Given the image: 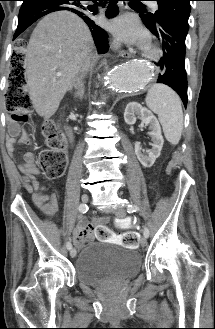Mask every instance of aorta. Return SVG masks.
<instances>
[{
	"instance_id": "aorta-1",
	"label": "aorta",
	"mask_w": 215,
	"mask_h": 329,
	"mask_svg": "<svg viewBox=\"0 0 215 329\" xmlns=\"http://www.w3.org/2000/svg\"><path fill=\"white\" fill-rule=\"evenodd\" d=\"M151 75V70L138 61L117 62L105 74L103 87L110 91L135 92L146 86Z\"/></svg>"
}]
</instances>
